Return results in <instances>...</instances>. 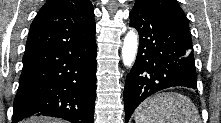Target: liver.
<instances>
[{
	"label": "liver",
	"instance_id": "6515ba94",
	"mask_svg": "<svg viewBox=\"0 0 221 123\" xmlns=\"http://www.w3.org/2000/svg\"><path fill=\"white\" fill-rule=\"evenodd\" d=\"M23 123H64L62 120L51 119L47 117H31L30 119L24 120Z\"/></svg>",
	"mask_w": 221,
	"mask_h": 123
}]
</instances>
